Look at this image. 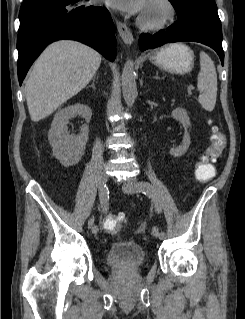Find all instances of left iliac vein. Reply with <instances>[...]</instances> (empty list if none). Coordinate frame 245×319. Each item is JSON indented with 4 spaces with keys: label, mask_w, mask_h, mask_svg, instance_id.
I'll return each instance as SVG.
<instances>
[{
    "label": "left iliac vein",
    "mask_w": 245,
    "mask_h": 319,
    "mask_svg": "<svg viewBox=\"0 0 245 319\" xmlns=\"http://www.w3.org/2000/svg\"><path fill=\"white\" fill-rule=\"evenodd\" d=\"M137 180L135 178H128L123 184V191L126 193H135L137 190L135 188ZM159 229L157 227L153 228V235L159 239L163 237L159 234Z\"/></svg>",
    "instance_id": "left-iliac-vein-1"
}]
</instances>
